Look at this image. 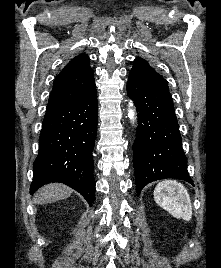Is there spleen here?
I'll return each instance as SVG.
<instances>
[{
  "label": "spleen",
  "instance_id": "3e777b00",
  "mask_svg": "<svg viewBox=\"0 0 221 268\" xmlns=\"http://www.w3.org/2000/svg\"><path fill=\"white\" fill-rule=\"evenodd\" d=\"M154 199L164 210L177 219L189 221L192 204L186 188L175 180H165L154 189Z\"/></svg>",
  "mask_w": 221,
  "mask_h": 268
}]
</instances>
